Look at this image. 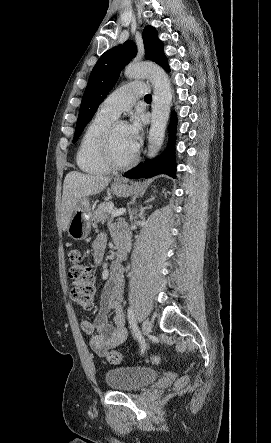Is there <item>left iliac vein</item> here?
Segmentation results:
<instances>
[{
    "label": "left iliac vein",
    "mask_w": 271,
    "mask_h": 443,
    "mask_svg": "<svg viewBox=\"0 0 271 443\" xmlns=\"http://www.w3.org/2000/svg\"><path fill=\"white\" fill-rule=\"evenodd\" d=\"M152 330V325L149 320H144L142 324V332L145 336L149 335Z\"/></svg>",
    "instance_id": "obj_1"
}]
</instances>
